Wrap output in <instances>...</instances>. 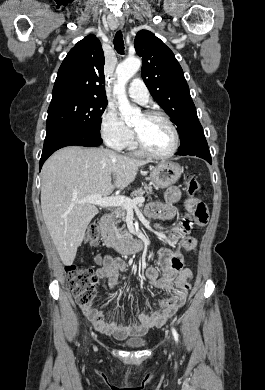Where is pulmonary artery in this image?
<instances>
[{
  "instance_id": "pulmonary-artery-1",
  "label": "pulmonary artery",
  "mask_w": 265,
  "mask_h": 390,
  "mask_svg": "<svg viewBox=\"0 0 265 390\" xmlns=\"http://www.w3.org/2000/svg\"><path fill=\"white\" fill-rule=\"evenodd\" d=\"M128 95L132 100L140 104H146L149 99L148 89L140 78L132 79L128 88Z\"/></svg>"
}]
</instances>
